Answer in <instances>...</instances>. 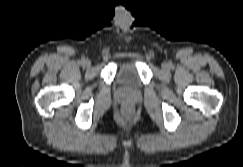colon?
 I'll use <instances>...</instances> for the list:
<instances>
[{"label": "colon", "instance_id": "obj_1", "mask_svg": "<svg viewBox=\"0 0 243 167\" xmlns=\"http://www.w3.org/2000/svg\"><path fill=\"white\" fill-rule=\"evenodd\" d=\"M122 113L125 119H129L132 114V110L130 108H125Z\"/></svg>", "mask_w": 243, "mask_h": 167}]
</instances>
